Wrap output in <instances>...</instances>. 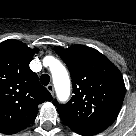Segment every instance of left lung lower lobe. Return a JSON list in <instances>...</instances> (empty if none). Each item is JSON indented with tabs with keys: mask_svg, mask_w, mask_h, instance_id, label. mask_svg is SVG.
<instances>
[{
	"mask_svg": "<svg viewBox=\"0 0 136 136\" xmlns=\"http://www.w3.org/2000/svg\"><path fill=\"white\" fill-rule=\"evenodd\" d=\"M74 132L83 136H92L102 132L107 128L103 125H91V126H72L70 127Z\"/></svg>",
	"mask_w": 136,
	"mask_h": 136,
	"instance_id": "0a47b994",
	"label": "left lung lower lobe"
}]
</instances>
